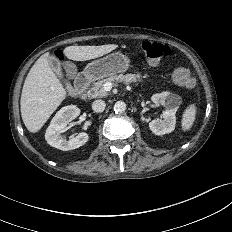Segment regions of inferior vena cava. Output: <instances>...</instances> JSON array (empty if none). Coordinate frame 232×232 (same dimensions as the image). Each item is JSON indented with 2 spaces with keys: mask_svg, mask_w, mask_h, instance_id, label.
Wrapping results in <instances>:
<instances>
[{
  "mask_svg": "<svg viewBox=\"0 0 232 232\" xmlns=\"http://www.w3.org/2000/svg\"><path fill=\"white\" fill-rule=\"evenodd\" d=\"M105 107H106V103L103 100H95L92 103V109L95 112H103L105 110Z\"/></svg>",
  "mask_w": 232,
  "mask_h": 232,
  "instance_id": "602c4592",
  "label": "inferior vena cava"
}]
</instances>
